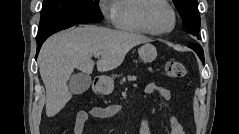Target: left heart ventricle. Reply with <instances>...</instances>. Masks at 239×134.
I'll list each match as a JSON object with an SVG mask.
<instances>
[{
  "label": "left heart ventricle",
  "instance_id": "b2bd125f",
  "mask_svg": "<svg viewBox=\"0 0 239 134\" xmlns=\"http://www.w3.org/2000/svg\"><path fill=\"white\" fill-rule=\"evenodd\" d=\"M150 19L153 27L158 31L168 30L173 21L170 10L161 3L153 5L150 11Z\"/></svg>",
  "mask_w": 239,
  "mask_h": 134
}]
</instances>
